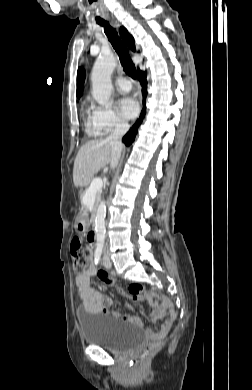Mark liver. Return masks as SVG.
<instances>
[{
  "label": "liver",
  "instance_id": "obj_1",
  "mask_svg": "<svg viewBox=\"0 0 252 390\" xmlns=\"http://www.w3.org/2000/svg\"><path fill=\"white\" fill-rule=\"evenodd\" d=\"M112 159L110 140L98 139L83 145L74 161L73 182L76 187L89 184L92 177Z\"/></svg>",
  "mask_w": 252,
  "mask_h": 390
}]
</instances>
